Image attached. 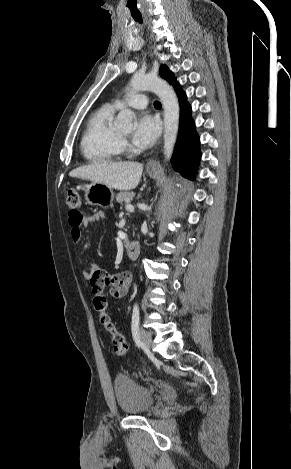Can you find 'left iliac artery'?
Wrapping results in <instances>:
<instances>
[{
	"label": "left iliac artery",
	"instance_id": "obj_1",
	"mask_svg": "<svg viewBox=\"0 0 291 469\" xmlns=\"http://www.w3.org/2000/svg\"><path fill=\"white\" fill-rule=\"evenodd\" d=\"M139 320H140L139 306L137 303H135L133 307V313H132L131 330H132V336L135 340L136 345L138 347H142V342L140 341V338H139Z\"/></svg>",
	"mask_w": 291,
	"mask_h": 469
}]
</instances>
